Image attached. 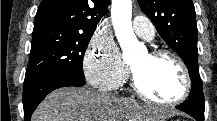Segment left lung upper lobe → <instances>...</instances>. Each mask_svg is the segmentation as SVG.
<instances>
[{
	"label": "left lung upper lobe",
	"mask_w": 217,
	"mask_h": 121,
	"mask_svg": "<svg viewBox=\"0 0 217 121\" xmlns=\"http://www.w3.org/2000/svg\"><path fill=\"white\" fill-rule=\"evenodd\" d=\"M138 3L167 45L184 60L192 81L189 99L204 116L203 84L197 63L198 30L192 0H138Z\"/></svg>",
	"instance_id": "left-lung-upper-lobe-1"
}]
</instances>
